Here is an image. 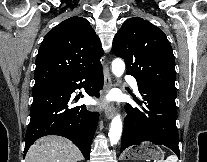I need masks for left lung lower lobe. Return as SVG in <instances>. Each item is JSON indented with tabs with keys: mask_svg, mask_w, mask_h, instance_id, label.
I'll return each instance as SVG.
<instances>
[{
	"mask_svg": "<svg viewBox=\"0 0 207 162\" xmlns=\"http://www.w3.org/2000/svg\"><path fill=\"white\" fill-rule=\"evenodd\" d=\"M138 90L144 106L139 100L136 102L141 105L140 109L130 104L126 106L127 119L122 134L121 151L131 145L149 141L170 148L179 157L176 90L140 85Z\"/></svg>",
	"mask_w": 207,
	"mask_h": 162,
	"instance_id": "obj_1",
	"label": "left lung lower lobe"
}]
</instances>
